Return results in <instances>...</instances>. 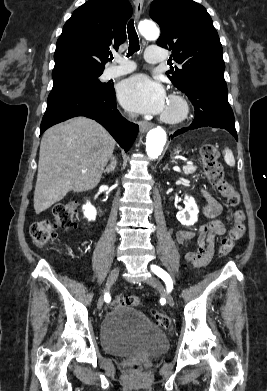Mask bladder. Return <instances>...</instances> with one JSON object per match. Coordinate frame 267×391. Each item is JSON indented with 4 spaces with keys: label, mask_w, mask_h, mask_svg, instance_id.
<instances>
[{
    "label": "bladder",
    "mask_w": 267,
    "mask_h": 391,
    "mask_svg": "<svg viewBox=\"0 0 267 391\" xmlns=\"http://www.w3.org/2000/svg\"><path fill=\"white\" fill-rule=\"evenodd\" d=\"M105 352L114 355L145 353L158 355L167 350L166 333L146 319L137 309L119 306L109 311L100 331Z\"/></svg>",
    "instance_id": "31cf9c89"
}]
</instances>
